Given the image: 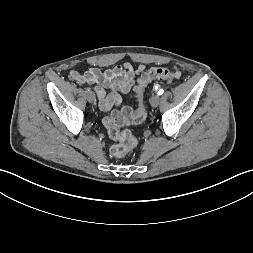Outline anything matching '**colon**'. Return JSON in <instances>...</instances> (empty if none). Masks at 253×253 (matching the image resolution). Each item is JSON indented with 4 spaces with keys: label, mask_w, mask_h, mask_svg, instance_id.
I'll return each instance as SVG.
<instances>
[{
    "label": "colon",
    "mask_w": 253,
    "mask_h": 253,
    "mask_svg": "<svg viewBox=\"0 0 253 253\" xmlns=\"http://www.w3.org/2000/svg\"><path fill=\"white\" fill-rule=\"evenodd\" d=\"M179 76L177 71H172L165 67H153L145 72L135 87V94L138 100L137 109L124 107L120 111L114 112L112 115L105 117L103 124L108 132L111 140L116 142L110 149V153L115 158H120L132 150L137 139L129 130H122L123 125H139L146 119V109L143 103L145 90L153 80H161L167 83L174 81Z\"/></svg>",
    "instance_id": "colon-1"
}]
</instances>
